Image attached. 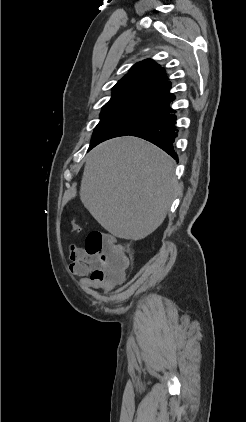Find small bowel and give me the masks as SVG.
I'll use <instances>...</instances> for the list:
<instances>
[{
    "label": "small bowel",
    "instance_id": "c3829d8e",
    "mask_svg": "<svg viewBox=\"0 0 246 422\" xmlns=\"http://www.w3.org/2000/svg\"><path fill=\"white\" fill-rule=\"evenodd\" d=\"M70 271L80 277V283L85 288L102 289L110 293L123 281V274L115 279H98L94 272L98 268L97 257L90 255L84 248L72 245L70 247Z\"/></svg>",
    "mask_w": 246,
    "mask_h": 422
}]
</instances>
